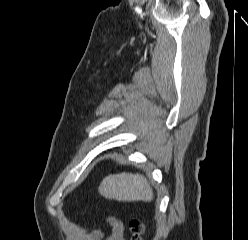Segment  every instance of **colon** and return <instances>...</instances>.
<instances>
[{
	"label": "colon",
	"mask_w": 248,
	"mask_h": 240,
	"mask_svg": "<svg viewBox=\"0 0 248 240\" xmlns=\"http://www.w3.org/2000/svg\"><path fill=\"white\" fill-rule=\"evenodd\" d=\"M130 229L132 232L131 240H142L143 235L146 231L145 224L140 220H133L130 223Z\"/></svg>",
	"instance_id": "1"
}]
</instances>
